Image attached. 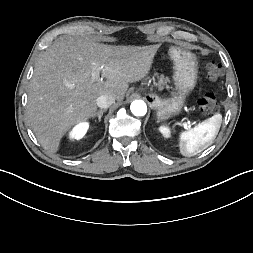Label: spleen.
<instances>
[{"label": "spleen", "instance_id": "3e777b00", "mask_svg": "<svg viewBox=\"0 0 253 253\" xmlns=\"http://www.w3.org/2000/svg\"><path fill=\"white\" fill-rule=\"evenodd\" d=\"M222 122V115L217 113L194 128L184 131L179 136V149L183 156H193L217 135Z\"/></svg>", "mask_w": 253, "mask_h": 253}]
</instances>
